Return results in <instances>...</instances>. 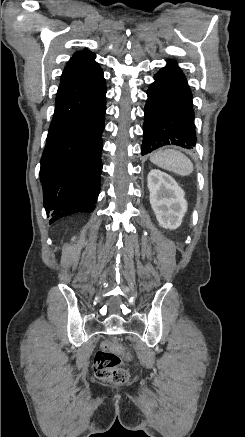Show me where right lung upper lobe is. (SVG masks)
I'll list each match as a JSON object with an SVG mask.
<instances>
[{"label": "right lung upper lobe", "mask_w": 245, "mask_h": 437, "mask_svg": "<svg viewBox=\"0 0 245 437\" xmlns=\"http://www.w3.org/2000/svg\"><path fill=\"white\" fill-rule=\"evenodd\" d=\"M95 57L88 49L75 52L64 68L56 96L82 91L102 82L103 72Z\"/></svg>", "instance_id": "obj_1"}]
</instances>
